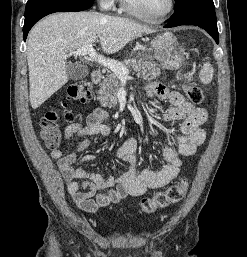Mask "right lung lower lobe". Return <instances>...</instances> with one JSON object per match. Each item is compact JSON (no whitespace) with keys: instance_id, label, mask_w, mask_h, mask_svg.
I'll use <instances>...</instances> for the list:
<instances>
[{"instance_id":"1","label":"right lung lower lobe","mask_w":247,"mask_h":257,"mask_svg":"<svg viewBox=\"0 0 247 257\" xmlns=\"http://www.w3.org/2000/svg\"><path fill=\"white\" fill-rule=\"evenodd\" d=\"M94 0H28L23 26L24 41L29 30L44 16L54 12H77L90 8Z\"/></svg>"}]
</instances>
